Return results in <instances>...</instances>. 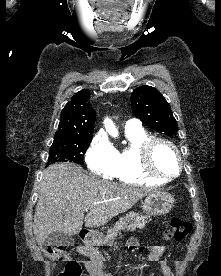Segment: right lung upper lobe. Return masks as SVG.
I'll return each instance as SVG.
<instances>
[{"label": "right lung upper lobe", "mask_w": 221, "mask_h": 276, "mask_svg": "<svg viewBox=\"0 0 221 276\" xmlns=\"http://www.w3.org/2000/svg\"><path fill=\"white\" fill-rule=\"evenodd\" d=\"M89 97L90 91L84 89L76 93L66 104L61 112L59 129L54 140L92 137L96 114L92 105L88 103Z\"/></svg>", "instance_id": "1"}]
</instances>
